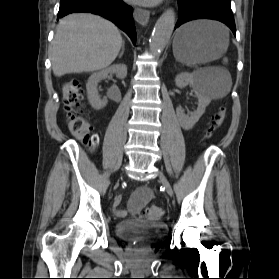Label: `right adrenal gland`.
I'll return each instance as SVG.
<instances>
[{"mask_svg":"<svg viewBox=\"0 0 279 279\" xmlns=\"http://www.w3.org/2000/svg\"><path fill=\"white\" fill-rule=\"evenodd\" d=\"M123 53H124V41H123L121 53L119 54V58L123 56Z\"/></svg>","mask_w":279,"mask_h":279,"instance_id":"obj_1","label":"right adrenal gland"}]
</instances>
